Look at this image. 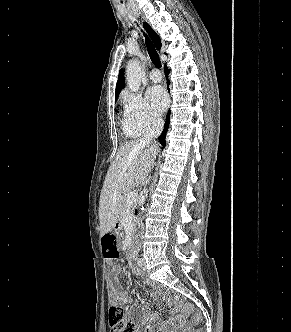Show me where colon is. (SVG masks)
Instances as JSON below:
<instances>
[{
    "label": "colon",
    "instance_id": "colon-1",
    "mask_svg": "<svg viewBox=\"0 0 291 332\" xmlns=\"http://www.w3.org/2000/svg\"><path fill=\"white\" fill-rule=\"evenodd\" d=\"M102 248L104 256L107 259L109 258L108 260L114 261L119 258L120 240L114 233H106L103 235ZM169 305L177 311L191 315L192 323H197L200 319L199 314L189 303L170 298ZM108 319L111 332H133L132 325L124 321V311L121 307L120 299L113 301V304L109 308Z\"/></svg>",
    "mask_w": 291,
    "mask_h": 332
}]
</instances>
